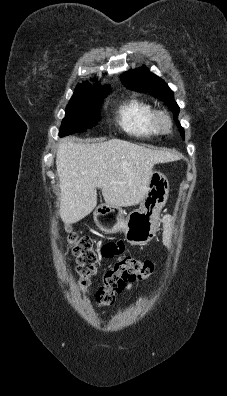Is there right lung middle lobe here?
I'll use <instances>...</instances> for the list:
<instances>
[{
	"instance_id": "right-lung-middle-lobe-1",
	"label": "right lung middle lobe",
	"mask_w": 227,
	"mask_h": 396,
	"mask_svg": "<svg viewBox=\"0 0 227 396\" xmlns=\"http://www.w3.org/2000/svg\"><path fill=\"white\" fill-rule=\"evenodd\" d=\"M108 93L109 90L101 91L88 87H77L66 107V116L63 119L59 135L66 136L93 127L99 120V108L103 97H106Z\"/></svg>"
}]
</instances>
